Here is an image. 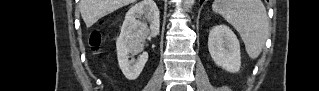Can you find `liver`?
Listing matches in <instances>:
<instances>
[{"mask_svg": "<svg viewBox=\"0 0 319 91\" xmlns=\"http://www.w3.org/2000/svg\"><path fill=\"white\" fill-rule=\"evenodd\" d=\"M135 1L136 0H80L79 7L83 21L89 28L102 17Z\"/></svg>", "mask_w": 319, "mask_h": 91, "instance_id": "1", "label": "liver"}]
</instances>
